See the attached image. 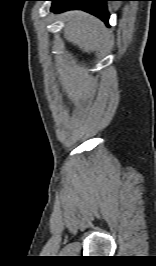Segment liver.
<instances>
[{"label":"liver","mask_w":156,"mask_h":266,"mask_svg":"<svg viewBox=\"0 0 156 266\" xmlns=\"http://www.w3.org/2000/svg\"><path fill=\"white\" fill-rule=\"evenodd\" d=\"M63 19L64 37L84 52L97 50L107 38L108 32L104 24L85 12H67L63 14Z\"/></svg>","instance_id":"obj_1"}]
</instances>
